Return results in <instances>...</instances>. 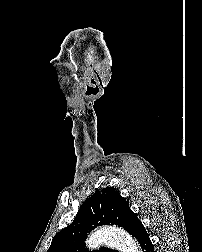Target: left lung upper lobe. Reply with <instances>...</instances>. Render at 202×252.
<instances>
[{
  "label": "left lung upper lobe",
  "instance_id": "1",
  "mask_svg": "<svg viewBox=\"0 0 202 252\" xmlns=\"http://www.w3.org/2000/svg\"><path fill=\"white\" fill-rule=\"evenodd\" d=\"M138 217L113 187L95 191L81 206L73 222L53 238L47 252H91L84 246L88 233L97 226L118 225L132 235ZM93 252H118L101 247Z\"/></svg>",
  "mask_w": 202,
  "mask_h": 252
}]
</instances>
